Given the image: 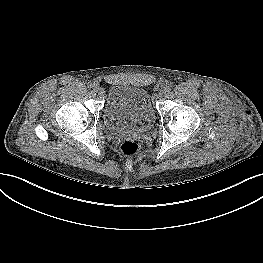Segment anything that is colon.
<instances>
[{
	"label": "colon",
	"instance_id": "1",
	"mask_svg": "<svg viewBox=\"0 0 263 263\" xmlns=\"http://www.w3.org/2000/svg\"><path fill=\"white\" fill-rule=\"evenodd\" d=\"M139 151H140V147L135 141L126 140L121 145V152L125 156H134L138 154Z\"/></svg>",
	"mask_w": 263,
	"mask_h": 263
}]
</instances>
